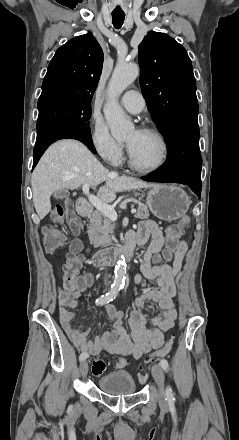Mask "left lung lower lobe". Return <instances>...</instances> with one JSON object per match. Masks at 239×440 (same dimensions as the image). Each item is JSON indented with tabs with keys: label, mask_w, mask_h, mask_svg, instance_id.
<instances>
[{
	"label": "left lung lower lobe",
	"mask_w": 239,
	"mask_h": 440,
	"mask_svg": "<svg viewBox=\"0 0 239 440\" xmlns=\"http://www.w3.org/2000/svg\"><path fill=\"white\" fill-rule=\"evenodd\" d=\"M199 135L198 126L184 127L173 132L167 140L168 155L164 166L142 179L188 185L200 199L202 158L199 152Z\"/></svg>",
	"instance_id": "left-lung-lower-lobe-1"
}]
</instances>
